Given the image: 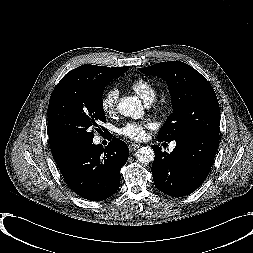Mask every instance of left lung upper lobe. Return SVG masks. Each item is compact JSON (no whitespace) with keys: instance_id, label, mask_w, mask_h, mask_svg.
<instances>
[{"instance_id":"5c2ea615","label":"left lung upper lobe","mask_w":253,"mask_h":253,"mask_svg":"<svg viewBox=\"0 0 253 253\" xmlns=\"http://www.w3.org/2000/svg\"><path fill=\"white\" fill-rule=\"evenodd\" d=\"M138 70L163 78L171 92L173 112L158 138L169 142L195 132L219 135V103L211 84L198 71L180 61L161 62Z\"/></svg>"}]
</instances>
